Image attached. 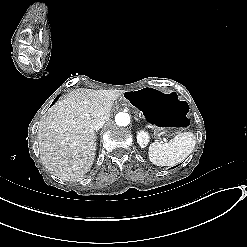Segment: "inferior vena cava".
Returning a JSON list of instances; mask_svg holds the SVG:
<instances>
[{
    "label": "inferior vena cava",
    "instance_id": "1",
    "mask_svg": "<svg viewBox=\"0 0 247 247\" xmlns=\"http://www.w3.org/2000/svg\"><path fill=\"white\" fill-rule=\"evenodd\" d=\"M104 123H105L104 121L97 122L96 124L93 125V129L95 131L100 130L103 127Z\"/></svg>",
    "mask_w": 247,
    "mask_h": 247
}]
</instances>
